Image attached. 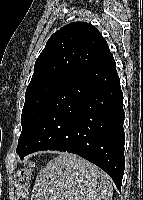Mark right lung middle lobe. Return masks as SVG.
Instances as JSON below:
<instances>
[{"instance_id":"dd1d6c3e","label":"right lung middle lobe","mask_w":143,"mask_h":200,"mask_svg":"<svg viewBox=\"0 0 143 200\" xmlns=\"http://www.w3.org/2000/svg\"><path fill=\"white\" fill-rule=\"evenodd\" d=\"M68 76L64 74H53L30 82L25 93V103L21 115L22 132L16 151L19 149L38 111Z\"/></svg>"}]
</instances>
